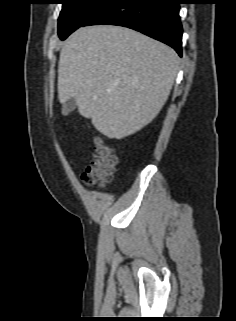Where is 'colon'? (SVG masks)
Returning a JSON list of instances; mask_svg holds the SVG:
<instances>
[{"label":"colon","instance_id":"colon-1","mask_svg":"<svg viewBox=\"0 0 236 321\" xmlns=\"http://www.w3.org/2000/svg\"><path fill=\"white\" fill-rule=\"evenodd\" d=\"M94 143L95 151L90 164L82 174L83 183L90 187L104 186L110 182L117 163L113 148L102 137L96 136Z\"/></svg>","mask_w":236,"mask_h":321}]
</instances>
